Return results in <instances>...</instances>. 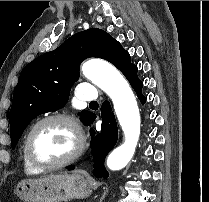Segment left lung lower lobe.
<instances>
[{
  "label": "left lung lower lobe",
  "instance_id": "obj_1",
  "mask_svg": "<svg viewBox=\"0 0 209 202\" xmlns=\"http://www.w3.org/2000/svg\"><path fill=\"white\" fill-rule=\"evenodd\" d=\"M125 77L130 82L131 86L135 90L138 95L139 100L142 103H145L146 98L142 95V87L143 83L137 77V67L133 66L126 74ZM101 117H102V125L101 132L95 135V131L91 128V147L92 153L95 161V170L94 175L96 177H108V172L104 167V160L110 150L115 146L118 139V130L117 124L115 120V116L111 111V106L108 101H104L101 106ZM96 116H94L89 125L95 120ZM71 167L69 170H73Z\"/></svg>",
  "mask_w": 209,
  "mask_h": 202
}]
</instances>
